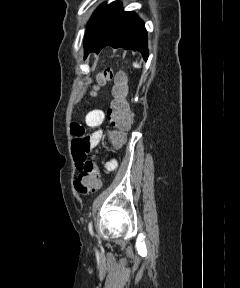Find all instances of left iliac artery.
I'll return each mask as SVG.
<instances>
[{
	"mask_svg": "<svg viewBox=\"0 0 240 288\" xmlns=\"http://www.w3.org/2000/svg\"><path fill=\"white\" fill-rule=\"evenodd\" d=\"M88 229H89L90 234L93 236L94 232H93V227H92V222L91 221L88 224Z\"/></svg>",
	"mask_w": 240,
	"mask_h": 288,
	"instance_id": "obj_1",
	"label": "left iliac artery"
}]
</instances>
